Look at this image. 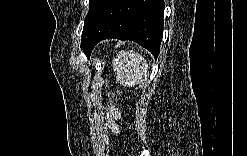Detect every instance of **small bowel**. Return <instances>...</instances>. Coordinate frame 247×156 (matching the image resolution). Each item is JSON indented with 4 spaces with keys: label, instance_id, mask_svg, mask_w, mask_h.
I'll return each instance as SVG.
<instances>
[{
    "label": "small bowel",
    "instance_id": "obj_1",
    "mask_svg": "<svg viewBox=\"0 0 247 156\" xmlns=\"http://www.w3.org/2000/svg\"><path fill=\"white\" fill-rule=\"evenodd\" d=\"M112 113H113V116H114V117L117 116V112H116V109H115V108H112Z\"/></svg>",
    "mask_w": 247,
    "mask_h": 156
}]
</instances>
